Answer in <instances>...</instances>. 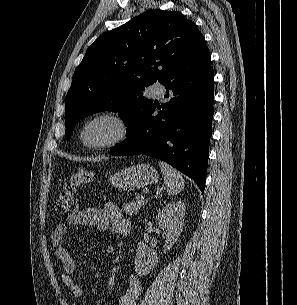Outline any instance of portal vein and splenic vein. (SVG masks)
Masks as SVG:
<instances>
[{
    "mask_svg": "<svg viewBox=\"0 0 297 305\" xmlns=\"http://www.w3.org/2000/svg\"><path fill=\"white\" fill-rule=\"evenodd\" d=\"M141 202H144V197H143V196H141V197L139 198L138 204H141Z\"/></svg>",
    "mask_w": 297,
    "mask_h": 305,
    "instance_id": "18ae733b",
    "label": "portal vein and splenic vein"
}]
</instances>
